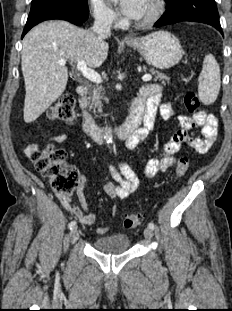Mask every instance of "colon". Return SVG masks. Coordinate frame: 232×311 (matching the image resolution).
Returning a JSON list of instances; mask_svg holds the SVG:
<instances>
[{"label": "colon", "instance_id": "colon-1", "mask_svg": "<svg viewBox=\"0 0 232 311\" xmlns=\"http://www.w3.org/2000/svg\"><path fill=\"white\" fill-rule=\"evenodd\" d=\"M184 105L187 112L196 113L200 106L197 94L194 92L186 93ZM74 108V97L70 94H64L50 108L48 118L52 121L69 124L75 118ZM31 160L35 168L48 179L51 188L56 193L64 196H71L74 193L79 180V173L67 162V152L64 149L50 145L44 151L33 153ZM188 168L189 158L181 157L175 169V176H184ZM141 220V214H129L123 219V225L126 228H135Z\"/></svg>", "mask_w": 232, "mask_h": 311}]
</instances>
